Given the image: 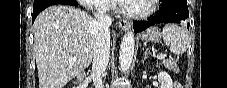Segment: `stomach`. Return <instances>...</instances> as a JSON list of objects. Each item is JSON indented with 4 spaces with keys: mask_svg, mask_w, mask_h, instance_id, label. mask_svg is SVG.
Instances as JSON below:
<instances>
[{
    "mask_svg": "<svg viewBox=\"0 0 227 88\" xmlns=\"http://www.w3.org/2000/svg\"><path fill=\"white\" fill-rule=\"evenodd\" d=\"M141 39L148 42H158L161 39V32L157 27H150L141 35Z\"/></svg>",
    "mask_w": 227,
    "mask_h": 88,
    "instance_id": "obj_1",
    "label": "stomach"
}]
</instances>
